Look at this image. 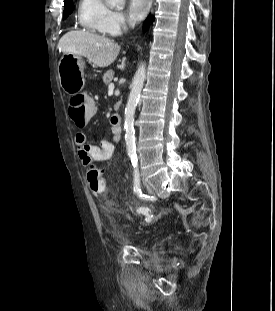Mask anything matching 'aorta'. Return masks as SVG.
Instances as JSON below:
<instances>
[{
    "label": "aorta",
    "mask_w": 275,
    "mask_h": 311,
    "mask_svg": "<svg viewBox=\"0 0 275 311\" xmlns=\"http://www.w3.org/2000/svg\"><path fill=\"white\" fill-rule=\"evenodd\" d=\"M106 2L110 6L117 8L124 7L125 5V0H106ZM145 77H146V64L142 63L134 75L131 86V92L125 108L124 128L126 131L125 140L128 153H133L135 151L134 114L137 102L140 97L141 90L143 88Z\"/></svg>",
    "instance_id": "obj_1"
}]
</instances>
